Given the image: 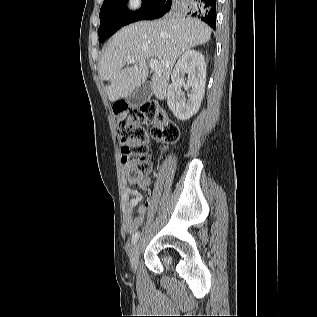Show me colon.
Instances as JSON below:
<instances>
[{
	"label": "colon",
	"instance_id": "5ec220e1",
	"mask_svg": "<svg viewBox=\"0 0 317 317\" xmlns=\"http://www.w3.org/2000/svg\"><path fill=\"white\" fill-rule=\"evenodd\" d=\"M121 147V162L129 181L136 183L150 171L147 158L148 135L146 123H151L150 134L155 141L167 146L179 138L177 125L165 110L154 103H147L139 110L118 104L114 108Z\"/></svg>",
	"mask_w": 317,
	"mask_h": 317
}]
</instances>
